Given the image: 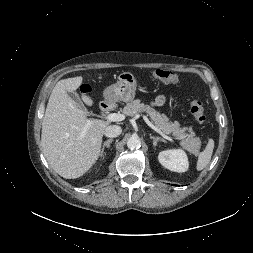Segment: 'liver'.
Masks as SVG:
<instances>
[{
	"mask_svg": "<svg viewBox=\"0 0 253 253\" xmlns=\"http://www.w3.org/2000/svg\"><path fill=\"white\" fill-rule=\"evenodd\" d=\"M81 76L57 82L48 100L42 122L41 145L53 170L66 179L85 174L98 160L108 122L90 118L68 96L82 84ZM91 106L92 99L83 96ZM86 134L82 136L83 129Z\"/></svg>",
	"mask_w": 253,
	"mask_h": 253,
	"instance_id": "obj_1",
	"label": "liver"
}]
</instances>
